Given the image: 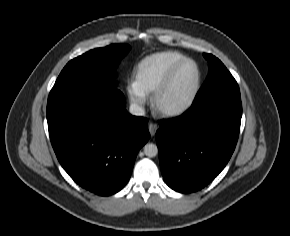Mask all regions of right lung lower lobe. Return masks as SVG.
I'll list each match as a JSON object with an SVG mask.
<instances>
[{"instance_id": "right-lung-lower-lobe-1", "label": "right lung lower lobe", "mask_w": 290, "mask_h": 236, "mask_svg": "<svg viewBox=\"0 0 290 236\" xmlns=\"http://www.w3.org/2000/svg\"><path fill=\"white\" fill-rule=\"evenodd\" d=\"M46 113L55 154L78 185L101 196L126 185L150 134L119 90L50 93Z\"/></svg>"}]
</instances>
